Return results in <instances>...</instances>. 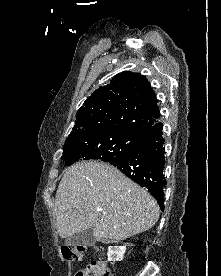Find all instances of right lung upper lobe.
<instances>
[{
    "label": "right lung upper lobe",
    "mask_w": 221,
    "mask_h": 276,
    "mask_svg": "<svg viewBox=\"0 0 221 276\" xmlns=\"http://www.w3.org/2000/svg\"><path fill=\"white\" fill-rule=\"evenodd\" d=\"M159 117L157 99L147 79L124 71L86 99L66 141L112 132L142 138Z\"/></svg>",
    "instance_id": "cb5924a9"
}]
</instances>
